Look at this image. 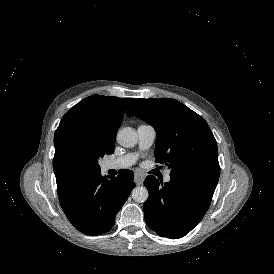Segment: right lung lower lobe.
<instances>
[{
  "label": "right lung lower lobe",
  "mask_w": 274,
  "mask_h": 274,
  "mask_svg": "<svg viewBox=\"0 0 274 274\" xmlns=\"http://www.w3.org/2000/svg\"><path fill=\"white\" fill-rule=\"evenodd\" d=\"M131 170L111 180L93 173L68 192L59 195L69 221L82 233L100 235L115 224V216L135 187Z\"/></svg>",
  "instance_id": "obj_1"
}]
</instances>
